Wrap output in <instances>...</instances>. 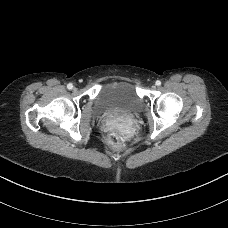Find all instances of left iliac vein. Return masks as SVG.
Masks as SVG:
<instances>
[{
	"instance_id": "obj_1",
	"label": "left iliac vein",
	"mask_w": 228,
	"mask_h": 228,
	"mask_svg": "<svg viewBox=\"0 0 228 228\" xmlns=\"http://www.w3.org/2000/svg\"><path fill=\"white\" fill-rule=\"evenodd\" d=\"M155 88H156V86H155V85H153V86H152V89H155Z\"/></svg>"
}]
</instances>
